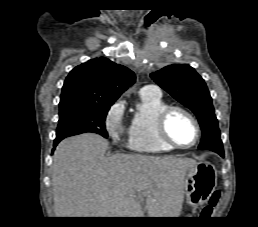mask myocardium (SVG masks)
Wrapping results in <instances>:
<instances>
[{"mask_svg":"<svg viewBox=\"0 0 258 227\" xmlns=\"http://www.w3.org/2000/svg\"><path fill=\"white\" fill-rule=\"evenodd\" d=\"M175 112H179V113H182L185 116H187L194 125L196 136H195L194 141L189 145L178 144L169 134L167 123H168V120H169L170 116ZM156 125H157V133H158V136H159L160 140L163 141L164 143L168 144L169 146L173 147V148L189 149V148L194 147L198 143V141L200 140L201 128H200V124H199L198 120L196 119V117L191 112H189L188 110H186L182 107L167 106L165 109H163L159 113V115L157 117Z\"/></svg>","mask_w":258,"mask_h":227,"instance_id":"obj_1","label":"myocardium"}]
</instances>
